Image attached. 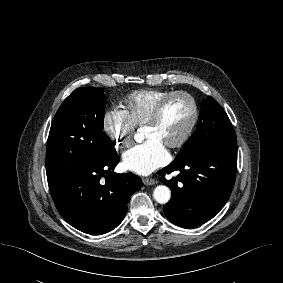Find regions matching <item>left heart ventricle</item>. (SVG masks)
Masks as SVG:
<instances>
[{"instance_id": "1", "label": "left heart ventricle", "mask_w": 283, "mask_h": 283, "mask_svg": "<svg viewBox=\"0 0 283 283\" xmlns=\"http://www.w3.org/2000/svg\"><path fill=\"white\" fill-rule=\"evenodd\" d=\"M192 116L190 102L183 97L172 99L165 107L156 125L144 126L145 139L154 138L164 145L178 140L186 130Z\"/></svg>"}]
</instances>
